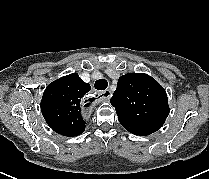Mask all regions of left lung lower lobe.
<instances>
[{
    "label": "left lung lower lobe",
    "mask_w": 209,
    "mask_h": 179,
    "mask_svg": "<svg viewBox=\"0 0 209 179\" xmlns=\"http://www.w3.org/2000/svg\"><path fill=\"white\" fill-rule=\"evenodd\" d=\"M122 126H123L126 130H128L129 132H131V133H133V134H135V135H140V136L149 135L148 133H146V132H144V131H142V130H140V129H137V128H135V127H131V126H128V125H123V124H122Z\"/></svg>",
    "instance_id": "obj_1"
}]
</instances>
